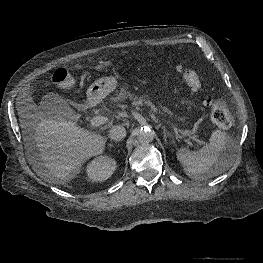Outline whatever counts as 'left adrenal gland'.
<instances>
[{"label": "left adrenal gland", "instance_id": "left-adrenal-gland-1", "mask_svg": "<svg viewBox=\"0 0 263 263\" xmlns=\"http://www.w3.org/2000/svg\"><path fill=\"white\" fill-rule=\"evenodd\" d=\"M162 129H163V133H164V140L166 141V139L169 136V134L167 133L165 127H162Z\"/></svg>", "mask_w": 263, "mask_h": 263}]
</instances>
